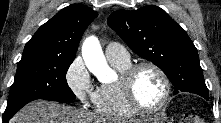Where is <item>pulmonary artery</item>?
<instances>
[{
	"mask_svg": "<svg viewBox=\"0 0 221 123\" xmlns=\"http://www.w3.org/2000/svg\"><path fill=\"white\" fill-rule=\"evenodd\" d=\"M105 54L109 61L127 62L130 60L126 48L117 42H110L105 48Z\"/></svg>",
	"mask_w": 221,
	"mask_h": 123,
	"instance_id": "e3ab8cb5",
	"label": "pulmonary artery"
}]
</instances>
